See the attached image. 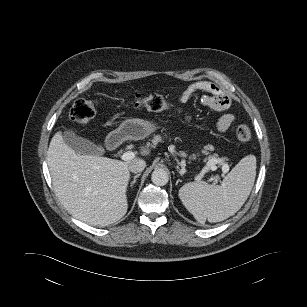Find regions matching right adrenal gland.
<instances>
[{"label": "right adrenal gland", "mask_w": 307, "mask_h": 307, "mask_svg": "<svg viewBox=\"0 0 307 307\" xmlns=\"http://www.w3.org/2000/svg\"><path fill=\"white\" fill-rule=\"evenodd\" d=\"M140 176V174H137V175H135L134 176V178H133V181L131 182V187H133V185L135 184V182H136V179L138 178Z\"/></svg>", "instance_id": "right-adrenal-gland-1"}]
</instances>
